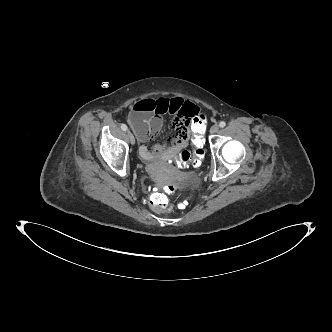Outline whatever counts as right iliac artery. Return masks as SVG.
<instances>
[{
  "instance_id": "1",
  "label": "right iliac artery",
  "mask_w": 332,
  "mask_h": 332,
  "mask_svg": "<svg viewBox=\"0 0 332 332\" xmlns=\"http://www.w3.org/2000/svg\"><path fill=\"white\" fill-rule=\"evenodd\" d=\"M121 129H122L123 131H127L128 128H127V126H126L125 124H122V125H121Z\"/></svg>"
}]
</instances>
